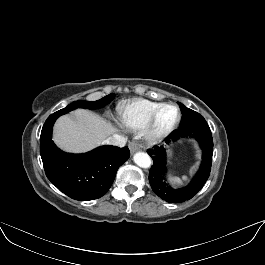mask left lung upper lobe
Wrapping results in <instances>:
<instances>
[{
  "mask_svg": "<svg viewBox=\"0 0 265 265\" xmlns=\"http://www.w3.org/2000/svg\"><path fill=\"white\" fill-rule=\"evenodd\" d=\"M178 105L180 106L182 113V119L179 128H185L199 120L204 119L199 113L187 108L182 103L178 102Z\"/></svg>",
  "mask_w": 265,
  "mask_h": 265,
  "instance_id": "left-lung-upper-lobe-1",
  "label": "left lung upper lobe"
}]
</instances>
